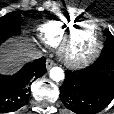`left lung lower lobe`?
Wrapping results in <instances>:
<instances>
[{
  "label": "left lung lower lobe",
  "mask_w": 114,
  "mask_h": 114,
  "mask_svg": "<svg viewBox=\"0 0 114 114\" xmlns=\"http://www.w3.org/2000/svg\"><path fill=\"white\" fill-rule=\"evenodd\" d=\"M60 98L77 114H96L114 98V55L101 54L89 67L66 71Z\"/></svg>",
  "instance_id": "left-lung-lower-lobe-1"
}]
</instances>
